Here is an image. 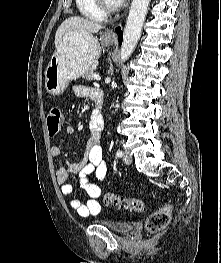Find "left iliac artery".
Returning a JSON list of instances; mask_svg holds the SVG:
<instances>
[{
  "mask_svg": "<svg viewBox=\"0 0 221 263\" xmlns=\"http://www.w3.org/2000/svg\"><path fill=\"white\" fill-rule=\"evenodd\" d=\"M116 156L117 157H122L123 156V152L121 150H117Z\"/></svg>",
  "mask_w": 221,
  "mask_h": 263,
  "instance_id": "obj_1",
  "label": "left iliac artery"
}]
</instances>
